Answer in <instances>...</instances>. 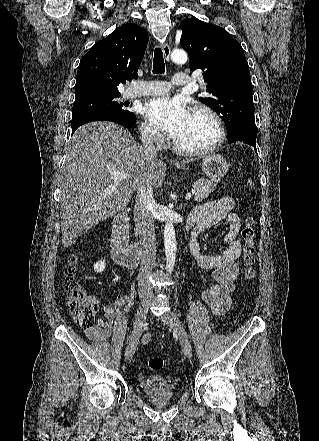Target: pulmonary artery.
Wrapping results in <instances>:
<instances>
[{
    "label": "pulmonary artery",
    "mask_w": 319,
    "mask_h": 441,
    "mask_svg": "<svg viewBox=\"0 0 319 441\" xmlns=\"http://www.w3.org/2000/svg\"><path fill=\"white\" fill-rule=\"evenodd\" d=\"M191 82V79L185 73H177L174 75L172 82L166 81H145L141 82L137 87L131 88L125 92L126 98H134L148 95H159L167 93L171 90L172 85L175 86H187Z\"/></svg>",
    "instance_id": "pulmonary-artery-1"
}]
</instances>
